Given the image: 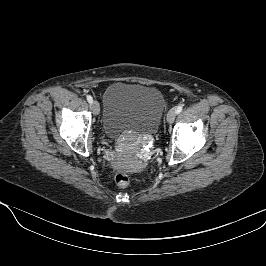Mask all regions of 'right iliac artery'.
<instances>
[{"mask_svg":"<svg viewBox=\"0 0 266 266\" xmlns=\"http://www.w3.org/2000/svg\"><path fill=\"white\" fill-rule=\"evenodd\" d=\"M87 101H88L89 103H92V102H93V98H92L90 95H88V96H87Z\"/></svg>","mask_w":266,"mask_h":266,"instance_id":"right-iliac-artery-1","label":"right iliac artery"}]
</instances>
